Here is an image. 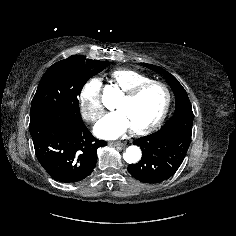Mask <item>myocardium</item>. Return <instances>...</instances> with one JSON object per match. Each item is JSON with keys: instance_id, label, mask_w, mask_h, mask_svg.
Segmentation results:
<instances>
[{"instance_id": "obj_1", "label": "myocardium", "mask_w": 236, "mask_h": 236, "mask_svg": "<svg viewBox=\"0 0 236 236\" xmlns=\"http://www.w3.org/2000/svg\"><path fill=\"white\" fill-rule=\"evenodd\" d=\"M153 85H158V86L162 87L163 90L165 91L166 101H165L164 107H163L160 115L158 116V118L150 125L143 127V128H139V129L131 128V132L135 135L149 134V133L155 131L163 123V121L166 118L167 113L169 111L170 105H171V100H172L171 91H170L169 87L164 82L159 81V80H149V81H146L144 83H141V84L135 86L134 88H132L131 90H129L127 92H124L122 95L123 99H125L127 101H131V100H134L135 98H137L148 87L153 86Z\"/></svg>"}]
</instances>
